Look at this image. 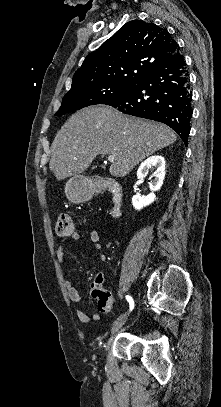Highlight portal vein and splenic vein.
I'll return each mask as SVG.
<instances>
[{
  "label": "portal vein and splenic vein",
  "mask_w": 221,
  "mask_h": 407,
  "mask_svg": "<svg viewBox=\"0 0 221 407\" xmlns=\"http://www.w3.org/2000/svg\"><path fill=\"white\" fill-rule=\"evenodd\" d=\"M114 160H115V157L113 155L108 156V161L114 162Z\"/></svg>",
  "instance_id": "obj_1"
}]
</instances>
